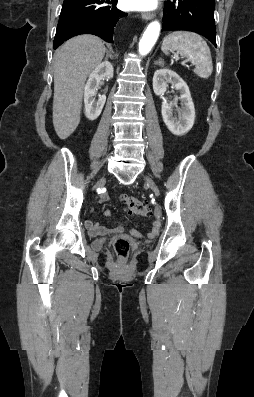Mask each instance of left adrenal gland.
I'll list each match as a JSON object with an SVG mask.
<instances>
[{
	"label": "left adrenal gland",
	"mask_w": 254,
	"mask_h": 397,
	"mask_svg": "<svg viewBox=\"0 0 254 397\" xmlns=\"http://www.w3.org/2000/svg\"><path fill=\"white\" fill-rule=\"evenodd\" d=\"M154 65H159V66H163V60L161 58H159L158 61L154 62Z\"/></svg>",
	"instance_id": "a2214340"
}]
</instances>
